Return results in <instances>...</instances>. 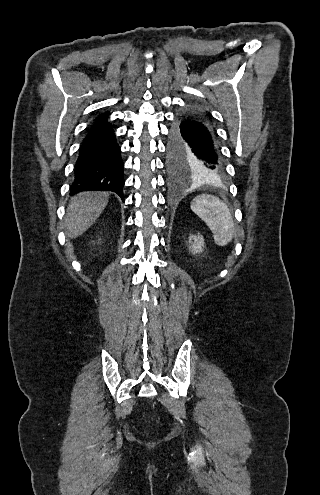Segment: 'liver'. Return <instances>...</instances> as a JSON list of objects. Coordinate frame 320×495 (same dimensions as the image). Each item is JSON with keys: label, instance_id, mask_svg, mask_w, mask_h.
I'll return each instance as SVG.
<instances>
[{"label": "liver", "instance_id": "obj_1", "mask_svg": "<svg viewBox=\"0 0 320 495\" xmlns=\"http://www.w3.org/2000/svg\"><path fill=\"white\" fill-rule=\"evenodd\" d=\"M109 201L106 192H80L71 198L65 217L68 237L82 235L95 223Z\"/></svg>", "mask_w": 320, "mask_h": 495}]
</instances>
